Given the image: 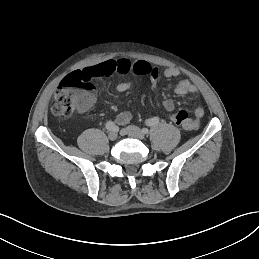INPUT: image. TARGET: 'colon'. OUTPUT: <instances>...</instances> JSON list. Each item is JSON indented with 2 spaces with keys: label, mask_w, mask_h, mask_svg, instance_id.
<instances>
[{
  "label": "colon",
  "mask_w": 259,
  "mask_h": 259,
  "mask_svg": "<svg viewBox=\"0 0 259 259\" xmlns=\"http://www.w3.org/2000/svg\"><path fill=\"white\" fill-rule=\"evenodd\" d=\"M94 100V91L91 83L84 80L77 71L65 76L57 88L52 113L59 118L70 116L76 110H85ZM170 119L177 125L183 126L189 117L185 111H175L169 114Z\"/></svg>",
  "instance_id": "5ec220e1"
}]
</instances>
